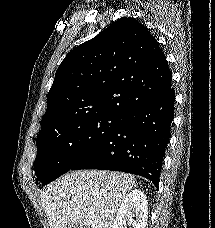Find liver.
Returning <instances> with one entry per match:
<instances>
[{"label": "liver", "mask_w": 215, "mask_h": 228, "mask_svg": "<svg viewBox=\"0 0 215 228\" xmlns=\"http://www.w3.org/2000/svg\"><path fill=\"white\" fill-rule=\"evenodd\" d=\"M135 186L131 174L77 170L45 186L40 202L49 228H112L118 206Z\"/></svg>", "instance_id": "obj_1"}]
</instances>
